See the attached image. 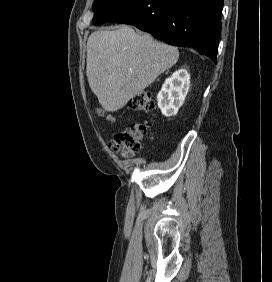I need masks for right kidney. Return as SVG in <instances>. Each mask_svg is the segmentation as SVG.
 Listing matches in <instances>:
<instances>
[{
  "label": "right kidney",
  "instance_id": "ca27d5eb",
  "mask_svg": "<svg viewBox=\"0 0 272 282\" xmlns=\"http://www.w3.org/2000/svg\"><path fill=\"white\" fill-rule=\"evenodd\" d=\"M190 87V74L185 69L176 70L167 78L157 95L158 107L166 117L175 116L183 105Z\"/></svg>",
  "mask_w": 272,
  "mask_h": 282
}]
</instances>
